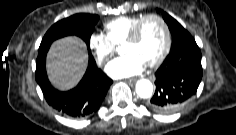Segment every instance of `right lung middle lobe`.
<instances>
[{
  "label": "right lung middle lobe",
  "instance_id": "dd1d6c3e",
  "mask_svg": "<svg viewBox=\"0 0 236 135\" xmlns=\"http://www.w3.org/2000/svg\"><path fill=\"white\" fill-rule=\"evenodd\" d=\"M98 19V15L79 13L58 21L45 34L39 52L48 50L54 40L67 35L80 37L86 42L89 49L90 37Z\"/></svg>",
  "mask_w": 236,
  "mask_h": 135
}]
</instances>
